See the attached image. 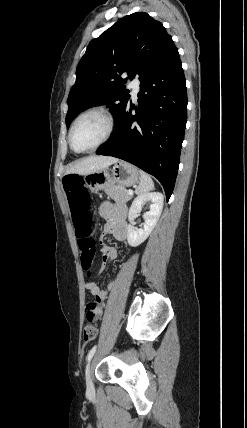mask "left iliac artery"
<instances>
[{"label": "left iliac artery", "instance_id": "1", "mask_svg": "<svg viewBox=\"0 0 247 428\" xmlns=\"http://www.w3.org/2000/svg\"><path fill=\"white\" fill-rule=\"evenodd\" d=\"M97 346H93L92 349L89 351L87 355V361H90L91 358L94 356Z\"/></svg>", "mask_w": 247, "mask_h": 428}]
</instances>
